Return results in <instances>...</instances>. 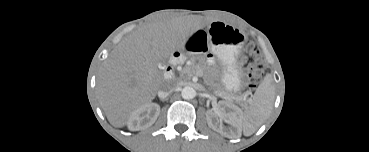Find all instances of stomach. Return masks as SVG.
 <instances>
[{
  "mask_svg": "<svg viewBox=\"0 0 369 152\" xmlns=\"http://www.w3.org/2000/svg\"><path fill=\"white\" fill-rule=\"evenodd\" d=\"M208 46L223 65L222 84L227 91L241 87V72L236 64L239 50L246 41L244 33L221 21L212 22L205 31Z\"/></svg>",
  "mask_w": 369,
  "mask_h": 152,
  "instance_id": "stomach-1",
  "label": "stomach"
}]
</instances>
